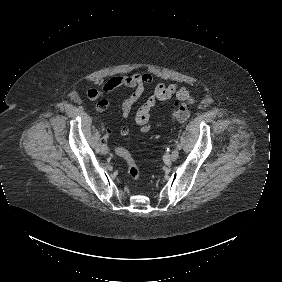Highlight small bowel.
Instances as JSON below:
<instances>
[{
	"label": "small bowel",
	"mask_w": 282,
	"mask_h": 282,
	"mask_svg": "<svg viewBox=\"0 0 282 282\" xmlns=\"http://www.w3.org/2000/svg\"><path fill=\"white\" fill-rule=\"evenodd\" d=\"M155 76L151 72L134 73L130 75H118L110 78L103 87L98 90L95 88L88 89L86 97L91 100H97L96 111L103 112L108 106L109 102L104 97L106 94L114 91L119 87H127L132 89V93L121 104V115L124 118L130 116L134 104L141 98L146 85L154 82ZM173 99L169 109L175 104L187 105L196 101V95L187 88L180 87L174 83L159 82L155 85L154 90L136 111L135 122L142 132L150 130V115L155 106L161 101ZM110 127H106V133H110ZM129 134V127L127 124H122L120 127V135L125 137ZM106 139H104L105 141Z\"/></svg>",
	"instance_id": "obj_1"
}]
</instances>
